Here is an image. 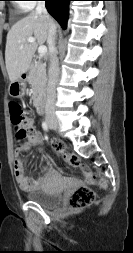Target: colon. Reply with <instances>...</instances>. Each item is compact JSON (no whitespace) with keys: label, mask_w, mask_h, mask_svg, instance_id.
Returning a JSON list of instances; mask_svg holds the SVG:
<instances>
[{"label":"colon","mask_w":133,"mask_h":253,"mask_svg":"<svg viewBox=\"0 0 133 253\" xmlns=\"http://www.w3.org/2000/svg\"><path fill=\"white\" fill-rule=\"evenodd\" d=\"M9 113L11 123L15 129V138L17 141H23L30 138L34 133V128L32 126L31 118L26 109H24L17 102L9 103ZM54 149L56 152L62 154L65 161L72 166H79V158L72 153H67L64 151L63 146L60 143H54ZM99 185L104 187L106 182L104 179L99 180ZM95 201V193L89 187H81L77 189L68 199V206L71 209H83Z\"/></svg>","instance_id":"obj_1"}]
</instances>
